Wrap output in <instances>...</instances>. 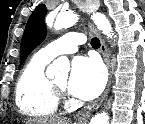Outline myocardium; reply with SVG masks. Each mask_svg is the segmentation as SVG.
<instances>
[{"instance_id":"obj_1","label":"myocardium","mask_w":145,"mask_h":124,"mask_svg":"<svg viewBox=\"0 0 145 124\" xmlns=\"http://www.w3.org/2000/svg\"><path fill=\"white\" fill-rule=\"evenodd\" d=\"M53 92L58 100L66 98L65 88L58 86L53 80H49Z\"/></svg>"}]
</instances>
